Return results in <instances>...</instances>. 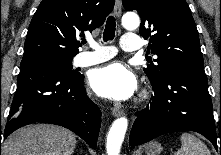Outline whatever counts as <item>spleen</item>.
Segmentation results:
<instances>
[{
    "mask_svg": "<svg viewBox=\"0 0 221 155\" xmlns=\"http://www.w3.org/2000/svg\"><path fill=\"white\" fill-rule=\"evenodd\" d=\"M180 140L181 147L174 155H211L206 144L193 134L183 133Z\"/></svg>",
    "mask_w": 221,
    "mask_h": 155,
    "instance_id": "1",
    "label": "spleen"
}]
</instances>
